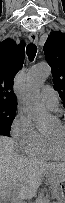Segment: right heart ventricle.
<instances>
[{"instance_id":"e07e8e85","label":"right heart ventricle","mask_w":65,"mask_h":203,"mask_svg":"<svg viewBox=\"0 0 65 203\" xmlns=\"http://www.w3.org/2000/svg\"><path fill=\"white\" fill-rule=\"evenodd\" d=\"M27 154L32 158L44 160H57L62 157L51 150L48 139L43 134H40L38 142L27 152Z\"/></svg>"}]
</instances>
